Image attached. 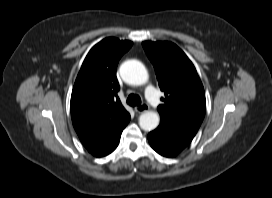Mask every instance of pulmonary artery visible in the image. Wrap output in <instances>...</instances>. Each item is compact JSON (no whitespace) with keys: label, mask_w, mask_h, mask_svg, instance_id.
<instances>
[{"label":"pulmonary artery","mask_w":272,"mask_h":198,"mask_svg":"<svg viewBox=\"0 0 272 198\" xmlns=\"http://www.w3.org/2000/svg\"><path fill=\"white\" fill-rule=\"evenodd\" d=\"M146 96L149 102H151L153 105L159 104V98L155 89L153 88L148 89Z\"/></svg>","instance_id":"1"}]
</instances>
